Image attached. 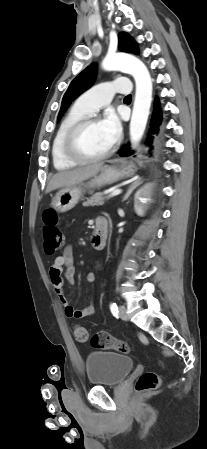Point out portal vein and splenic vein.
<instances>
[{
    "mask_svg": "<svg viewBox=\"0 0 207 449\" xmlns=\"http://www.w3.org/2000/svg\"><path fill=\"white\" fill-rule=\"evenodd\" d=\"M121 192H122L121 189H117V190L113 191V192L109 195V197L117 196V195L121 194Z\"/></svg>",
    "mask_w": 207,
    "mask_h": 449,
    "instance_id": "portal-vein-and-splenic-vein-1",
    "label": "portal vein and splenic vein"
}]
</instances>
